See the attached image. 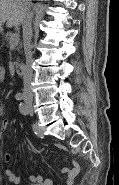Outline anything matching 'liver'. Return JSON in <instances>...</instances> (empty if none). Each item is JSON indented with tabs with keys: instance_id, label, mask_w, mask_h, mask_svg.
<instances>
[{
	"instance_id": "obj_1",
	"label": "liver",
	"mask_w": 119,
	"mask_h": 185,
	"mask_svg": "<svg viewBox=\"0 0 119 185\" xmlns=\"http://www.w3.org/2000/svg\"><path fill=\"white\" fill-rule=\"evenodd\" d=\"M28 1L0 0V26L7 22V27H18L25 19Z\"/></svg>"
}]
</instances>
